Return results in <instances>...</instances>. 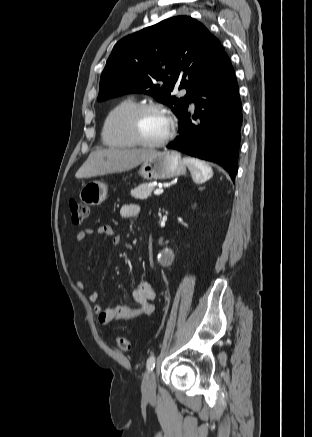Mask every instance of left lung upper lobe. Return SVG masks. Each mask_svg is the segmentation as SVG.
<instances>
[{
  "instance_id": "5c2ea615",
  "label": "left lung upper lobe",
  "mask_w": 312,
  "mask_h": 437,
  "mask_svg": "<svg viewBox=\"0 0 312 437\" xmlns=\"http://www.w3.org/2000/svg\"><path fill=\"white\" fill-rule=\"evenodd\" d=\"M224 54L200 22L188 16L166 19L117 42L101 74L98 101L145 93L173 107L180 118ZM175 86L187 94L171 96Z\"/></svg>"
}]
</instances>
